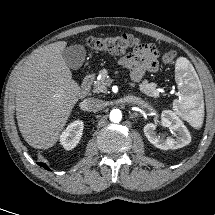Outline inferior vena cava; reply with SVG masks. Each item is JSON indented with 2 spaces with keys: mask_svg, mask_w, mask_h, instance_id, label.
<instances>
[{
  "mask_svg": "<svg viewBox=\"0 0 215 215\" xmlns=\"http://www.w3.org/2000/svg\"><path fill=\"white\" fill-rule=\"evenodd\" d=\"M84 110L97 112L104 107V102L97 98H87L82 102Z\"/></svg>",
  "mask_w": 215,
  "mask_h": 215,
  "instance_id": "obj_1",
  "label": "inferior vena cava"
}]
</instances>
